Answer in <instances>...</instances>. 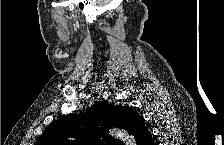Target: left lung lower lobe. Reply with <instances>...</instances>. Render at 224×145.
I'll list each match as a JSON object with an SVG mask.
<instances>
[{
    "label": "left lung lower lobe",
    "instance_id": "0a47b994",
    "mask_svg": "<svg viewBox=\"0 0 224 145\" xmlns=\"http://www.w3.org/2000/svg\"><path fill=\"white\" fill-rule=\"evenodd\" d=\"M138 145H154L152 135L150 131L145 126L144 121L138 115H136L132 123V133H131Z\"/></svg>",
    "mask_w": 224,
    "mask_h": 145
}]
</instances>
